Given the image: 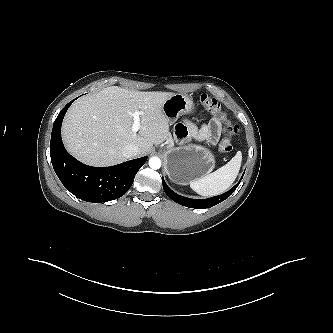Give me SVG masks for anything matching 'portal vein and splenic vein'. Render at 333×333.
<instances>
[{"instance_id":"1","label":"portal vein and splenic vein","mask_w":333,"mask_h":333,"mask_svg":"<svg viewBox=\"0 0 333 333\" xmlns=\"http://www.w3.org/2000/svg\"><path fill=\"white\" fill-rule=\"evenodd\" d=\"M140 112L139 111H134L133 113H132V115H133V124H132V131L134 132V133H136L139 129H140V127H141V124H140Z\"/></svg>"}]
</instances>
